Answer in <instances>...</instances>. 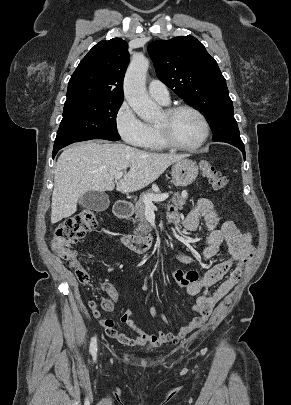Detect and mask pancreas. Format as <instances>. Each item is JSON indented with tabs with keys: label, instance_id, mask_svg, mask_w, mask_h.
Returning a JSON list of instances; mask_svg holds the SVG:
<instances>
[{
	"label": "pancreas",
	"instance_id": "1",
	"mask_svg": "<svg viewBox=\"0 0 291 405\" xmlns=\"http://www.w3.org/2000/svg\"><path fill=\"white\" fill-rule=\"evenodd\" d=\"M151 194H155V192L153 190H149V191L145 192L144 194H142V196L136 202L135 207H134V212L136 214L135 218L139 222L138 227L135 229V232L136 233L140 232L142 235H147L151 231V227L145 218L146 205L143 202V197L145 195H151ZM186 199H187V194L183 195V194H179L177 192V193H174L171 201H172V203H174L176 208L182 209L185 204Z\"/></svg>",
	"mask_w": 291,
	"mask_h": 405
}]
</instances>
